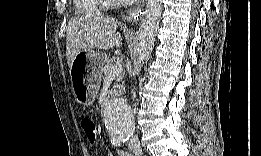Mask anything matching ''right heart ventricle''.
<instances>
[{
	"mask_svg": "<svg viewBox=\"0 0 261 156\" xmlns=\"http://www.w3.org/2000/svg\"><path fill=\"white\" fill-rule=\"evenodd\" d=\"M75 4L85 11H96L103 3L98 0H76Z\"/></svg>",
	"mask_w": 261,
	"mask_h": 156,
	"instance_id": "1",
	"label": "right heart ventricle"
}]
</instances>
